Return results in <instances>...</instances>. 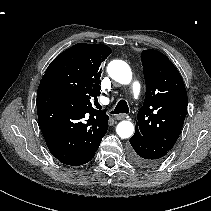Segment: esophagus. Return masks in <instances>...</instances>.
I'll list each match as a JSON object with an SVG mask.
<instances>
[{"instance_id":"esophagus-1","label":"esophagus","mask_w":211,"mask_h":211,"mask_svg":"<svg viewBox=\"0 0 211 211\" xmlns=\"http://www.w3.org/2000/svg\"><path fill=\"white\" fill-rule=\"evenodd\" d=\"M126 117H127L126 114H118V115H116L115 119H117V120H123V119H125Z\"/></svg>"}]
</instances>
